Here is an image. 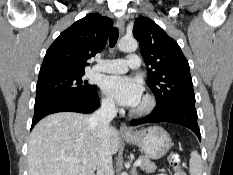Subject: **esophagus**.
I'll list each match as a JSON object with an SVG mask.
<instances>
[{"label": "esophagus", "instance_id": "34e87169", "mask_svg": "<svg viewBox=\"0 0 233 175\" xmlns=\"http://www.w3.org/2000/svg\"><path fill=\"white\" fill-rule=\"evenodd\" d=\"M116 25H117L119 31L121 33H123L124 32V28H125L124 19L123 18H118L117 21H116ZM119 132L122 135H130L132 133L131 129L128 128V126L126 124H121L120 125Z\"/></svg>", "mask_w": 233, "mask_h": 175}]
</instances>
